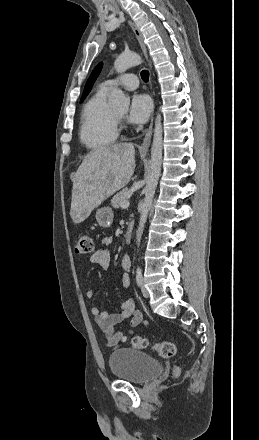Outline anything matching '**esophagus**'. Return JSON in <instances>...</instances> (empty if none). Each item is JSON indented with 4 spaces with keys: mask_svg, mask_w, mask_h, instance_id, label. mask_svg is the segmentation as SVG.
<instances>
[{
    "mask_svg": "<svg viewBox=\"0 0 259 440\" xmlns=\"http://www.w3.org/2000/svg\"><path fill=\"white\" fill-rule=\"evenodd\" d=\"M128 23H129V25H130V27H131L135 37L137 38V40H138V42L140 44V47H141V49L143 51V54H144L145 58L149 62L146 44L144 42V38H143L139 28L132 21H128ZM150 87L152 88L151 77H150ZM152 128H153V114H152V117H151V122H150L149 128L146 131L144 140H143V142H142V144L140 146V149H139L141 153H147L148 152V149H149V146H150V143H151Z\"/></svg>",
    "mask_w": 259,
    "mask_h": 440,
    "instance_id": "34e87169",
    "label": "esophagus"
}]
</instances>
